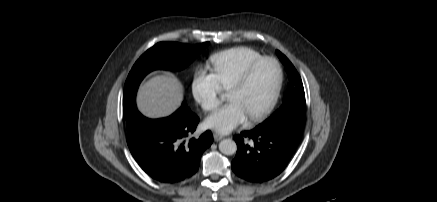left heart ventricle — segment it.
<instances>
[{"instance_id": "1", "label": "left heart ventricle", "mask_w": 437, "mask_h": 202, "mask_svg": "<svg viewBox=\"0 0 437 202\" xmlns=\"http://www.w3.org/2000/svg\"><path fill=\"white\" fill-rule=\"evenodd\" d=\"M277 81V68L273 62L261 63L248 83L229 92L228 99L238 102L247 118L262 110L269 102Z\"/></svg>"}]
</instances>
